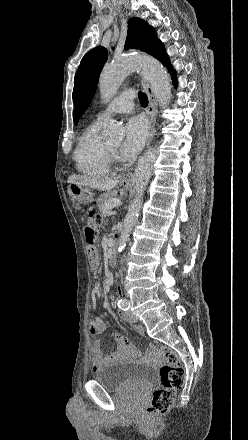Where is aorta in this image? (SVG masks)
<instances>
[{"mask_svg": "<svg viewBox=\"0 0 248 440\" xmlns=\"http://www.w3.org/2000/svg\"><path fill=\"white\" fill-rule=\"evenodd\" d=\"M136 70L150 83L159 105L161 107L168 105L171 99V84L168 74L158 61L144 56L121 57L113 60L103 69L99 78V91L102 99H112L125 78ZM103 137L109 142H120L123 138V130L113 121H109L103 132ZM156 157L157 150L155 148L149 149L140 158L135 169L136 193L123 220L118 241L119 252L126 247L130 233L137 223L144 191L151 178Z\"/></svg>", "mask_w": 248, "mask_h": 440, "instance_id": "obj_1", "label": "aorta"}]
</instances>
